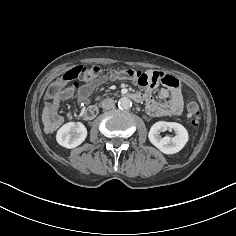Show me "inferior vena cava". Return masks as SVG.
I'll use <instances>...</instances> for the list:
<instances>
[{
	"label": "inferior vena cava",
	"instance_id": "602c4592",
	"mask_svg": "<svg viewBox=\"0 0 236 236\" xmlns=\"http://www.w3.org/2000/svg\"><path fill=\"white\" fill-rule=\"evenodd\" d=\"M114 105H115V102L112 98H106L101 102L102 108L106 110L112 109Z\"/></svg>",
	"mask_w": 236,
	"mask_h": 236
}]
</instances>
